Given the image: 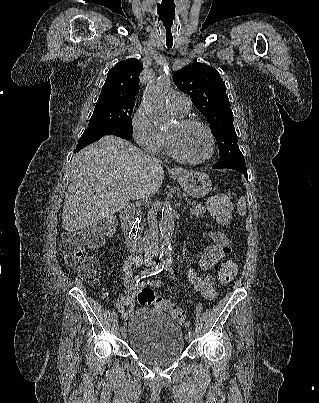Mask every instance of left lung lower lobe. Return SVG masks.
I'll return each instance as SVG.
<instances>
[{
    "label": "left lung lower lobe",
    "mask_w": 319,
    "mask_h": 403,
    "mask_svg": "<svg viewBox=\"0 0 319 403\" xmlns=\"http://www.w3.org/2000/svg\"><path fill=\"white\" fill-rule=\"evenodd\" d=\"M212 168H214V169L227 168V169L237 170V171L243 173L244 176L247 178V169H246L245 161L233 160V159L220 160L217 163H215L212 166Z\"/></svg>",
    "instance_id": "left-lung-lower-lobe-1"
}]
</instances>
